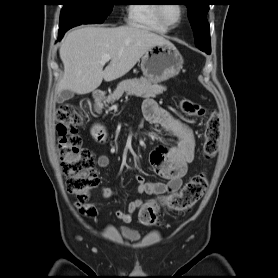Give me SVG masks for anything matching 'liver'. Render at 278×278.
I'll return each mask as SVG.
<instances>
[{"instance_id":"6515ba94","label":"liver","mask_w":278,"mask_h":278,"mask_svg":"<svg viewBox=\"0 0 278 278\" xmlns=\"http://www.w3.org/2000/svg\"><path fill=\"white\" fill-rule=\"evenodd\" d=\"M171 44L167 39L136 26L105 28L87 26L68 33L59 53L64 75L56 93L70 90L88 94L97 89L103 79L113 81L128 73L153 45ZM111 56L103 70L101 59Z\"/></svg>"}]
</instances>
